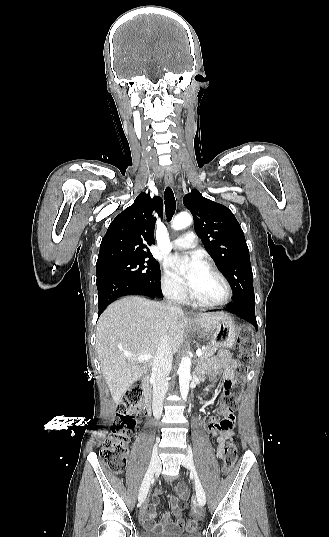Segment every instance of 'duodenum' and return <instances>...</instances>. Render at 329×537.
Instances as JSON below:
<instances>
[{
    "label": "duodenum",
    "instance_id": "obj_1",
    "mask_svg": "<svg viewBox=\"0 0 329 537\" xmlns=\"http://www.w3.org/2000/svg\"><path fill=\"white\" fill-rule=\"evenodd\" d=\"M143 395H144V406L146 413L149 415L151 413L152 405V390H151V381L149 377H145L142 381Z\"/></svg>",
    "mask_w": 329,
    "mask_h": 537
}]
</instances>
